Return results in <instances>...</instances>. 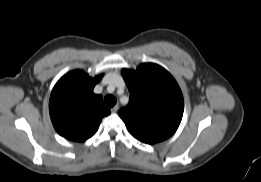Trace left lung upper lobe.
Listing matches in <instances>:
<instances>
[{"mask_svg":"<svg viewBox=\"0 0 261 182\" xmlns=\"http://www.w3.org/2000/svg\"><path fill=\"white\" fill-rule=\"evenodd\" d=\"M122 76L130 99L118 114L128 131L147 144L172 136L184 108L182 92L172 75L157 64L144 63L136 71L123 69Z\"/></svg>","mask_w":261,"mask_h":182,"instance_id":"5c2ea615","label":"left lung upper lobe"}]
</instances>
